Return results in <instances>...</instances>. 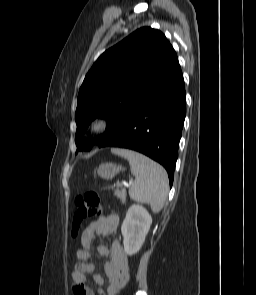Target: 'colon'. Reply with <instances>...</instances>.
<instances>
[{
    "instance_id": "5ec220e1",
    "label": "colon",
    "mask_w": 256,
    "mask_h": 295,
    "mask_svg": "<svg viewBox=\"0 0 256 295\" xmlns=\"http://www.w3.org/2000/svg\"><path fill=\"white\" fill-rule=\"evenodd\" d=\"M76 211L73 218V235L76 236L84 220L99 216L103 212V203L94 191L86 192L75 198Z\"/></svg>"
}]
</instances>
